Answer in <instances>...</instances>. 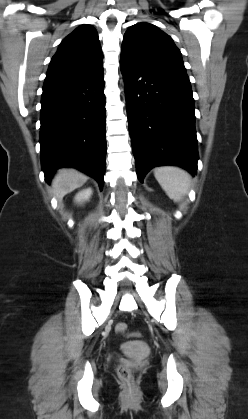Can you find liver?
Wrapping results in <instances>:
<instances>
[{
    "label": "liver",
    "mask_w": 248,
    "mask_h": 419,
    "mask_svg": "<svg viewBox=\"0 0 248 419\" xmlns=\"http://www.w3.org/2000/svg\"><path fill=\"white\" fill-rule=\"evenodd\" d=\"M88 177L75 169H61L52 181L53 192L61 200L70 191L82 186Z\"/></svg>",
    "instance_id": "6515ba94"
}]
</instances>
